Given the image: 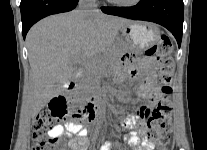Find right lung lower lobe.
Instances as JSON below:
<instances>
[{
	"mask_svg": "<svg viewBox=\"0 0 207 150\" xmlns=\"http://www.w3.org/2000/svg\"><path fill=\"white\" fill-rule=\"evenodd\" d=\"M78 0H21L22 34L25 39L30 27L40 19L76 7Z\"/></svg>",
	"mask_w": 207,
	"mask_h": 150,
	"instance_id": "98d812e1",
	"label": "right lung lower lobe"
}]
</instances>
